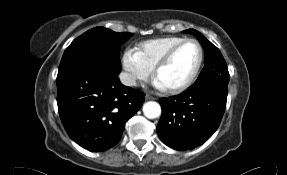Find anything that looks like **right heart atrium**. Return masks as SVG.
Masks as SVG:
<instances>
[{"label":"right heart atrium","mask_w":287,"mask_h":175,"mask_svg":"<svg viewBox=\"0 0 287 175\" xmlns=\"http://www.w3.org/2000/svg\"><path fill=\"white\" fill-rule=\"evenodd\" d=\"M122 67L125 70V83L135 86L139 82L147 81L151 74L150 69L139 57L136 51L127 49L121 58Z\"/></svg>","instance_id":"right-heart-atrium-1"}]
</instances>
